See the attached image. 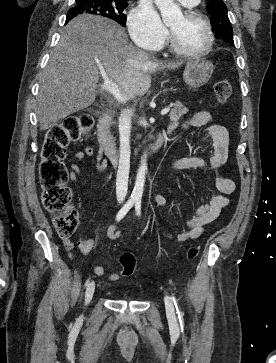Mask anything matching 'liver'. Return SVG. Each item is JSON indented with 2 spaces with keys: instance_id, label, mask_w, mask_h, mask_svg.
I'll list each match as a JSON object with an SVG mask.
<instances>
[{
  "instance_id": "1",
  "label": "liver",
  "mask_w": 276,
  "mask_h": 363,
  "mask_svg": "<svg viewBox=\"0 0 276 363\" xmlns=\"http://www.w3.org/2000/svg\"><path fill=\"white\" fill-rule=\"evenodd\" d=\"M181 65L152 61L147 53L130 45L125 29L110 19L79 15L65 26L40 76V130L93 104L103 74L118 85L124 98L131 99L146 94L151 73Z\"/></svg>"
}]
</instances>
